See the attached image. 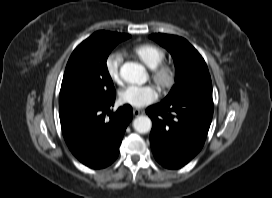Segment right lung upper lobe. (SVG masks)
Here are the masks:
<instances>
[{"label":"right lung upper lobe","mask_w":272,"mask_h":198,"mask_svg":"<svg viewBox=\"0 0 272 198\" xmlns=\"http://www.w3.org/2000/svg\"><path fill=\"white\" fill-rule=\"evenodd\" d=\"M123 35L117 32H107V31H97L94 34H92L89 38H87L85 41H83L72 53L69 61L73 60L82 50H84L86 47L90 46L93 42L107 38V37H115Z\"/></svg>","instance_id":"obj_1"}]
</instances>
